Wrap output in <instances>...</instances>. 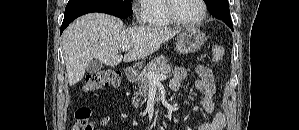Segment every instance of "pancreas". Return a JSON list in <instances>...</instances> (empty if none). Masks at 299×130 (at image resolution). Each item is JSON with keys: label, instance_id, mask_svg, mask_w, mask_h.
<instances>
[{"label": "pancreas", "instance_id": "pancreas-1", "mask_svg": "<svg viewBox=\"0 0 299 130\" xmlns=\"http://www.w3.org/2000/svg\"><path fill=\"white\" fill-rule=\"evenodd\" d=\"M171 66L167 64L165 56H159L152 60L147 66L143 68L141 73L135 78L138 84V88L134 92V98H132V104L135 108L139 106L138 97L146 98L150 86V80L148 78V72L155 74H169L171 72Z\"/></svg>", "mask_w": 299, "mask_h": 130}]
</instances>
